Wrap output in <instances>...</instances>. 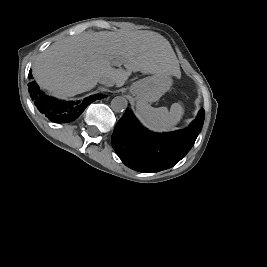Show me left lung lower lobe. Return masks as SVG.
Instances as JSON below:
<instances>
[{
    "label": "left lung lower lobe",
    "instance_id": "left-lung-lower-lobe-1",
    "mask_svg": "<svg viewBox=\"0 0 267 267\" xmlns=\"http://www.w3.org/2000/svg\"><path fill=\"white\" fill-rule=\"evenodd\" d=\"M204 123V110L189 128L167 134L145 129L128 109L117 122L112 146L125 165L140 172H158L174 166L191 149Z\"/></svg>",
    "mask_w": 267,
    "mask_h": 267
}]
</instances>
